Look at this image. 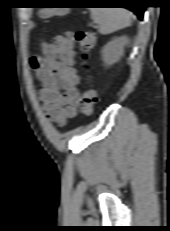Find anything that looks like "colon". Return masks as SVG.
Here are the masks:
<instances>
[{
    "label": "colon",
    "instance_id": "colon-1",
    "mask_svg": "<svg viewBox=\"0 0 170 231\" xmlns=\"http://www.w3.org/2000/svg\"><path fill=\"white\" fill-rule=\"evenodd\" d=\"M65 14V10L60 8L46 9L42 11L41 16L44 18L52 17V16H63ZM97 34L95 31H78L75 34V42L80 51V57L84 63V67L86 69L89 68L88 59L89 52L94 47L96 42ZM98 98L96 91L92 88L86 89L82 96L80 97V108L81 112L84 115H90L96 104Z\"/></svg>",
    "mask_w": 170,
    "mask_h": 231
}]
</instances>
